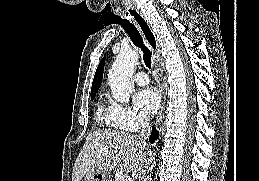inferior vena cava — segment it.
<instances>
[{"label": "inferior vena cava", "mask_w": 259, "mask_h": 181, "mask_svg": "<svg viewBox=\"0 0 259 181\" xmlns=\"http://www.w3.org/2000/svg\"><path fill=\"white\" fill-rule=\"evenodd\" d=\"M139 122L140 128L138 131L137 139L139 143L145 148L147 147L146 140L148 139L151 133V126L149 123V119L144 115L140 116Z\"/></svg>", "instance_id": "obj_1"}]
</instances>
